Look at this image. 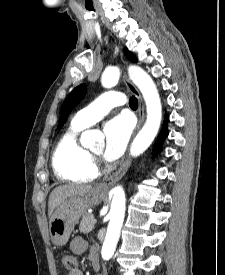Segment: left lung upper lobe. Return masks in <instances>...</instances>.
I'll return each mask as SVG.
<instances>
[{
    "label": "left lung upper lobe",
    "instance_id": "5c2ea615",
    "mask_svg": "<svg viewBox=\"0 0 225 275\" xmlns=\"http://www.w3.org/2000/svg\"><path fill=\"white\" fill-rule=\"evenodd\" d=\"M125 55L133 62H136L137 59L134 54L126 48L124 50ZM86 91V85L82 84L76 87L65 99L60 113V120L58 128L62 127L65 121L67 120L68 115L72 109L82 100Z\"/></svg>",
    "mask_w": 225,
    "mask_h": 275
}]
</instances>
